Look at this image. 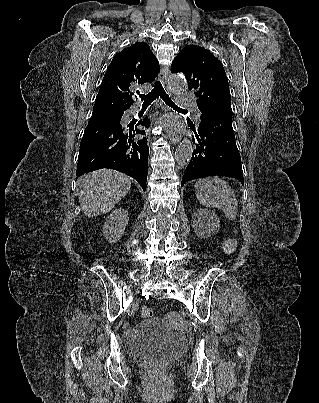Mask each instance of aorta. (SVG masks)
<instances>
[{
    "label": "aorta",
    "instance_id": "obj_1",
    "mask_svg": "<svg viewBox=\"0 0 319 403\" xmlns=\"http://www.w3.org/2000/svg\"><path fill=\"white\" fill-rule=\"evenodd\" d=\"M168 85L174 92H184L187 89L186 80L182 76L175 74L169 77ZM192 153V142L188 138H184L175 152L177 163L179 165L187 164L192 157Z\"/></svg>",
    "mask_w": 319,
    "mask_h": 403
}]
</instances>
